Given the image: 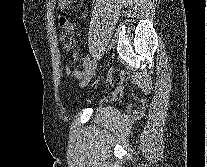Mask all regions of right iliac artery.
Returning <instances> with one entry per match:
<instances>
[{
    "mask_svg": "<svg viewBox=\"0 0 207 167\" xmlns=\"http://www.w3.org/2000/svg\"><path fill=\"white\" fill-rule=\"evenodd\" d=\"M89 62H90V56L87 55V59L84 61L83 66L86 68Z\"/></svg>",
    "mask_w": 207,
    "mask_h": 167,
    "instance_id": "82829eb1",
    "label": "right iliac artery"
}]
</instances>
